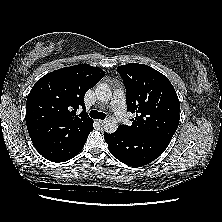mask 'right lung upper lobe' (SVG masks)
<instances>
[{"label":"right lung upper lobe","mask_w":222,"mask_h":222,"mask_svg":"<svg viewBox=\"0 0 222 222\" xmlns=\"http://www.w3.org/2000/svg\"><path fill=\"white\" fill-rule=\"evenodd\" d=\"M104 76L99 67L79 64L50 72L35 83L25 119L36 149L81 139L89 132L93 120L85 112L84 96Z\"/></svg>","instance_id":"cb5924a9"}]
</instances>
